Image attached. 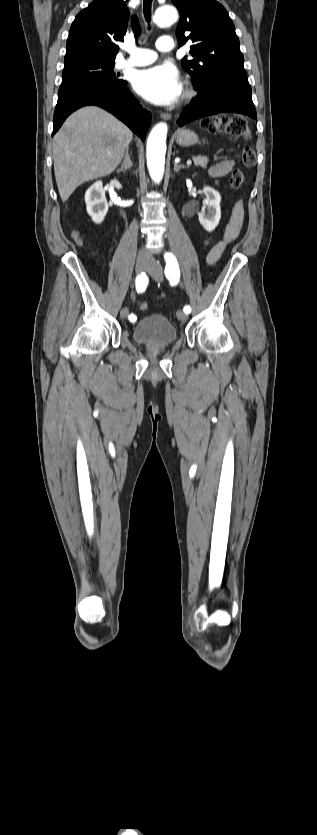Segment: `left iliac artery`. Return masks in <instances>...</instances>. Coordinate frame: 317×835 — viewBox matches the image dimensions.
I'll list each match as a JSON object with an SVG mask.
<instances>
[{
  "instance_id": "left-iliac-artery-1",
  "label": "left iliac artery",
  "mask_w": 317,
  "mask_h": 835,
  "mask_svg": "<svg viewBox=\"0 0 317 835\" xmlns=\"http://www.w3.org/2000/svg\"><path fill=\"white\" fill-rule=\"evenodd\" d=\"M164 259L166 261L165 276L170 281L171 285H175L179 282L180 278V269L177 259L173 253L170 252L165 253ZM183 311L188 314L191 312V307L186 305L184 306Z\"/></svg>"
}]
</instances>
